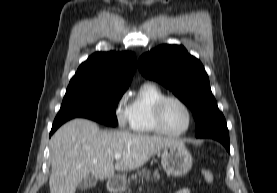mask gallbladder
Returning a JSON list of instances; mask_svg holds the SVG:
<instances>
[{
	"label": "gallbladder",
	"mask_w": 277,
	"mask_h": 193,
	"mask_svg": "<svg viewBox=\"0 0 277 193\" xmlns=\"http://www.w3.org/2000/svg\"><path fill=\"white\" fill-rule=\"evenodd\" d=\"M97 184V179L92 176L84 178L77 186L79 190H88L95 187Z\"/></svg>",
	"instance_id": "1"
}]
</instances>
